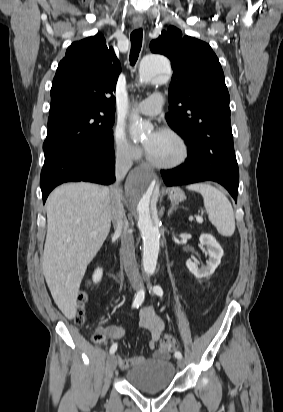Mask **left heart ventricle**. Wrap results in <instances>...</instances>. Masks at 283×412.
<instances>
[{
	"label": "left heart ventricle",
	"mask_w": 283,
	"mask_h": 412,
	"mask_svg": "<svg viewBox=\"0 0 283 412\" xmlns=\"http://www.w3.org/2000/svg\"><path fill=\"white\" fill-rule=\"evenodd\" d=\"M144 144L152 159L159 163H172L181 155V146L178 141L164 132H159L157 135L148 134Z\"/></svg>",
	"instance_id": "b2bd125f"
}]
</instances>
